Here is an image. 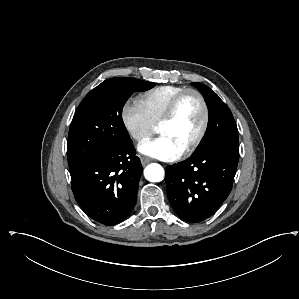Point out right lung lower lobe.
<instances>
[{
  "label": "right lung lower lobe",
  "mask_w": 299,
  "mask_h": 299,
  "mask_svg": "<svg viewBox=\"0 0 299 299\" xmlns=\"http://www.w3.org/2000/svg\"><path fill=\"white\" fill-rule=\"evenodd\" d=\"M142 165L132 141L101 153L71 171L77 203L95 221L112 225L124 220L135 204Z\"/></svg>",
  "instance_id": "right-lung-lower-lobe-1"
}]
</instances>
